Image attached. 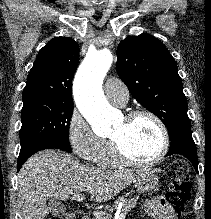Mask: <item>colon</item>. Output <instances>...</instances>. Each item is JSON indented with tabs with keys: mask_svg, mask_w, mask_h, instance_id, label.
<instances>
[{
	"mask_svg": "<svg viewBox=\"0 0 211 219\" xmlns=\"http://www.w3.org/2000/svg\"><path fill=\"white\" fill-rule=\"evenodd\" d=\"M170 188L166 192V201L173 209L177 219H181L188 200L190 184L185 180L188 175V166L185 161L175 159L166 170ZM48 219H75L74 213L68 216H53Z\"/></svg>",
	"mask_w": 211,
	"mask_h": 219,
	"instance_id": "colon-1",
	"label": "colon"
}]
</instances>
